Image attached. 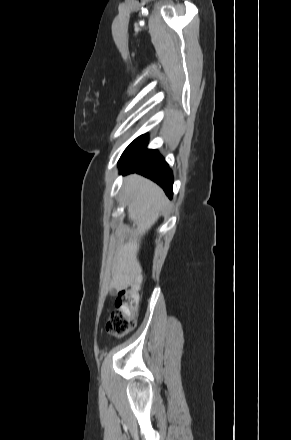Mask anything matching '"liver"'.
I'll list each match as a JSON object with an SVG mask.
<instances>
[{"label": "liver", "instance_id": "obj_1", "mask_svg": "<svg viewBox=\"0 0 291 440\" xmlns=\"http://www.w3.org/2000/svg\"><path fill=\"white\" fill-rule=\"evenodd\" d=\"M124 198L128 202V217L136 223V228L115 254L110 288L116 291L127 288L140 274L141 266L137 255L141 238L155 224L167 205V199L160 187L137 174L126 177Z\"/></svg>", "mask_w": 291, "mask_h": 440}]
</instances>
